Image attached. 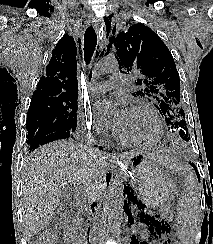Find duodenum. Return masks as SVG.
<instances>
[{"label":"duodenum","instance_id":"410a0bca","mask_svg":"<svg viewBox=\"0 0 213 244\" xmlns=\"http://www.w3.org/2000/svg\"><path fill=\"white\" fill-rule=\"evenodd\" d=\"M97 218H98V216H97L96 211L93 208H91V209H89L87 215L84 217V220H86L87 222H90V221L95 220ZM92 235H93V231L90 230L88 239H91Z\"/></svg>","mask_w":213,"mask_h":244}]
</instances>
